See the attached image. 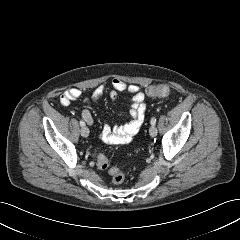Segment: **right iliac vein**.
I'll return each mask as SVG.
<instances>
[{
    "instance_id": "63e3f726",
    "label": "right iliac vein",
    "mask_w": 240,
    "mask_h": 240,
    "mask_svg": "<svg viewBox=\"0 0 240 240\" xmlns=\"http://www.w3.org/2000/svg\"><path fill=\"white\" fill-rule=\"evenodd\" d=\"M81 135H82L83 137H88V135H89V129H88L87 127H83V128L81 129Z\"/></svg>"
}]
</instances>
